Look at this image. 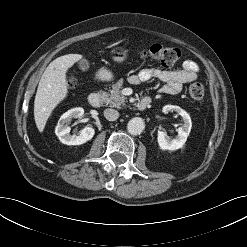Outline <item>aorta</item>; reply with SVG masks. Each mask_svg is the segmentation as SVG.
<instances>
[{
    "mask_svg": "<svg viewBox=\"0 0 247 247\" xmlns=\"http://www.w3.org/2000/svg\"><path fill=\"white\" fill-rule=\"evenodd\" d=\"M145 128L144 120L140 117L132 118L127 124V130L132 135L142 133Z\"/></svg>",
    "mask_w": 247,
    "mask_h": 247,
    "instance_id": "762f6f07",
    "label": "aorta"
}]
</instances>
